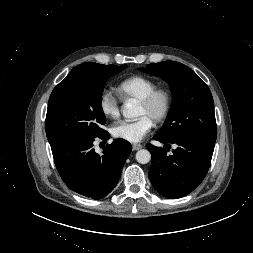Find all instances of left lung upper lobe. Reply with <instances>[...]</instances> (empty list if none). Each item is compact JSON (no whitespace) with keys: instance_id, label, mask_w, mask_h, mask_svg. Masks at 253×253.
<instances>
[{"instance_id":"1","label":"left lung upper lobe","mask_w":253,"mask_h":253,"mask_svg":"<svg viewBox=\"0 0 253 253\" xmlns=\"http://www.w3.org/2000/svg\"><path fill=\"white\" fill-rule=\"evenodd\" d=\"M139 70L163 78L172 92L170 112L156 135L166 140L199 137L216 141L212 94L193 70L175 61L149 64Z\"/></svg>"}]
</instances>
